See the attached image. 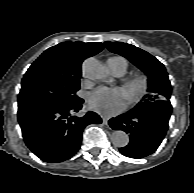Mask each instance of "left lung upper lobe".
I'll return each instance as SVG.
<instances>
[{
	"label": "left lung upper lobe",
	"instance_id": "1",
	"mask_svg": "<svg viewBox=\"0 0 194 193\" xmlns=\"http://www.w3.org/2000/svg\"><path fill=\"white\" fill-rule=\"evenodd\" d=\"M106 47L118 53L139 67L148 75V91L136 107H142L154 102L169 100L171 85L164 65L146 51L127 43L105 42Z\"/></svg>",
	"mask_w": 194,
	"mask_h": 193
}]
</instances>
